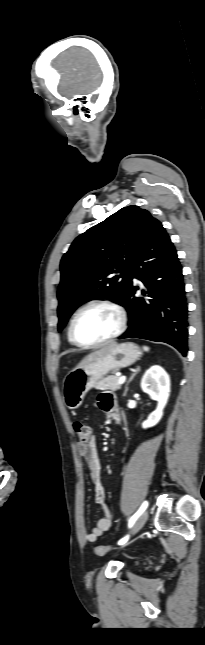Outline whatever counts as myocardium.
<instances>
[{"label":"myocardium","mask_w":205,"mask_h":645,"mask_svg":"<svg viewBox=\"0 0 205 645\" xmlns=\"http://www.w3.org/2000/svg\"><path fill=\"white\" fill-rule=\"evenodd\" d=\"M93 306H103V307H107V308L112 309L116 313V315L118 317V325H117L116 330L111 335H109L108 337H106V338H104V339H102L100 341L83 342L76 335L75 323H76L77 318L79 317V315L84 310H86V309H88L90 307H93ZM126 327H127V314H126L124 308L120 304H118L117 302H115L113 300H110V299H93V300H90V301L86 302L85 304H83L82 306H80L76 310V312L74 313V315H73V317H72V319L70 321L69 334H70V338L72 339L74 344H76L78 346H81V347H84V348H95V347L105 345V344L113 341L117 337H119L125 331Z\"/></svg>","instance_id":"1"}]
</instances>
